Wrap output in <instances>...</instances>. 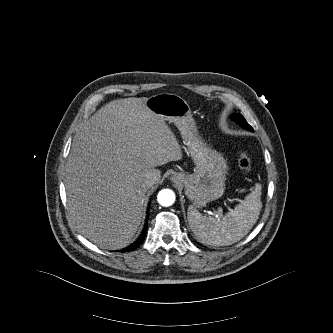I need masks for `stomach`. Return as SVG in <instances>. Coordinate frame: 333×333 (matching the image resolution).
Wrapping results in <instances>:
<instances>
[{
	"label": "stomach",
	"instance_id": "obj_1",
	"mask_svg": "<svg viewBox=\"0 0 333 333\" xmlns=\"http://www.w3.org/2000/svg\"><path fill=\"white\" fill-rule=\"evenodd\" d=\"M146 107L164 121L174 123L196 165L191 175L182 173L180 183L186 196L195 207L220 198L225 190L226 160L199 135L188 103L172 93H160L149 97Z\"/></svg>",
	"mask_w": 333,
	"mask_h": 333
}]
</instances>
